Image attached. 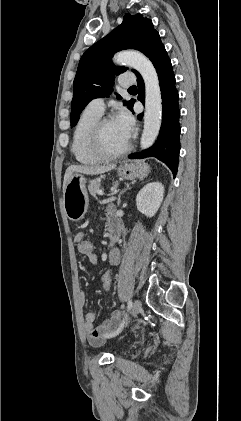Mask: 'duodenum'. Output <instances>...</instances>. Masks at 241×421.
<instances>
[{"label": "duodenum", "mask_w": 241, "mask_h": 421, "mask_svg": "<svg viewBox=\"0 0 241 421\" xmlns=\"http://www.w3.org/2000/svg\"><path fill=\"white\" fill-rule=\"evenodd\" d=\"M108 230L110 241L112 243L117 242L121 236V226L114 215L108 218Z\"/></svg>", "instance_id": "duodenum-1"}]
</instances>
